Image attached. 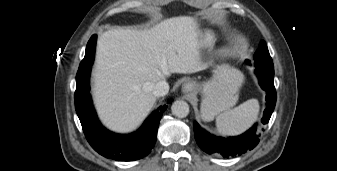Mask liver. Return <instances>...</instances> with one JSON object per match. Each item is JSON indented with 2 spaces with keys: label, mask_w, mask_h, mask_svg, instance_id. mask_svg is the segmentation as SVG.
<instances>
[{
  "label": "liver",
  "mask_w": 337,
  "mask_h": 171,
  "mask_svg": "<svg viewBox=\"0 0 337 171\" xmlns=\"http://www.w3.org/2000/svg\"><path fill=\"white\" fill-rule=\"evenodd\" d=\"M197 23L188 16L161 21L150 29H114L97 42L93 96L105 125L134 131L156 102L152 85L172 73L202 69Z\"/></svg>",
  "instance_id": "liver-1"
}]
</instances>
